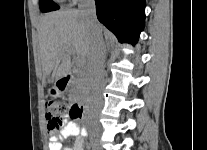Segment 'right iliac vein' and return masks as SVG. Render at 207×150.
<instances>
[{
	"label": "right iliac vein",
	"instance_id": "right-iliac-vein-1",
	"mask_svg": "<svg viewBox=\"0 0 207 150\" xmlns=\"http://www.w3.org/2000/svg\"><path fill=\"white\" fill-rule=\"evenodd\" d=\"M93 150H101V148L98 145H95Z\"/></svg>",
	"mask_w": 207,
	"mask_h": 150
}]
</instances>
